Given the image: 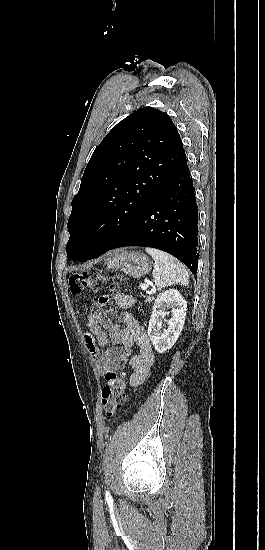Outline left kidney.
<instances>
[{"instance_id": "obj_1", "label": "left kidney", "mask_w": 265, "mask_h": 550, "mask_svg": "<svg viewBox=\"0 0 265 550\" xmlns=\"http://www.w3.org/2000/svg\"><path fill=\"white\" fill-rule=\"evenodd\" d=\"M186 311L187 301L178 290L170 289L157 296L152 308L148 335L158 353H164L176 343L183 329ZM169 313L171 317L167 320L168 328L162 330V321Z\"/></svg>"}]
</instances>
